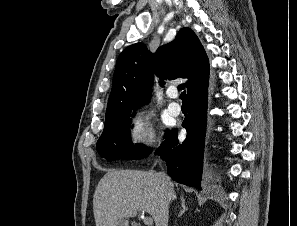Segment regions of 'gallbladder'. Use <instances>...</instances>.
Masks as SVG:
<instances>
[{
  "instance_id": "1",
  "label": "gallbladder",
  "mask_w": 297,
  "mask_h": 226,
  "mask_svg": "<svg viewBox=\"0 0 297 226\" xmlns=\"http://www.w3.org/2000/svg\"><path fill=\"white\" fill-rule=\"evenodd\" d=\"M116 226H127V223H126V221L124 219H120L116 223Z\"/></svg>"
}]
</instances>
